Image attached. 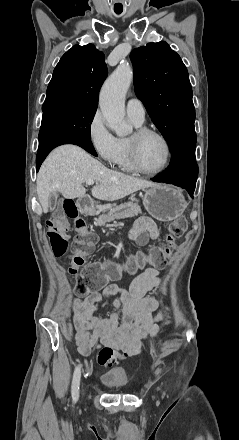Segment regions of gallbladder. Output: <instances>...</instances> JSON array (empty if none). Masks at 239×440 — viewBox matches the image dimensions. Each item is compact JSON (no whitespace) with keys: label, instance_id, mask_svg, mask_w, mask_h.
Masks as SVG:
<instances>
[{"label":"gallbladder","instance_id":"bac80fb5","mask_svg":"<svg viewBox=\"0 0 239 440\" xmlns=\"http://www.w3.org/2000/svg\"><path fill=\"white\" fill-rule=\"evenodd\" d=\"M57 198H58V194H56V192H52V194H50L48 198V208L50 212H52V210H55L57 206Z\"/></svg>","mask_w":239,"mask_h":440}]
</instances>
